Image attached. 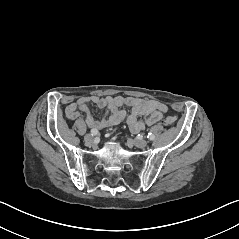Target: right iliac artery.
<instances>
[{
	"mask_svg": "<svg viewBox=\"0 0 239 239\" xmlns=\"http://www.w3.org/2000/svg\"><path fill=\"white\" fill-rule=\"evenodd\" d=\"M98 134V130L97 129H92L91 130V135L92 136H96Z\"/></svg>",
	"mask_w": 239,
	"mask_h": 239,
	"instance_id": "82829eb1",
	"label": "right iliac artery"
}]
</instances>
